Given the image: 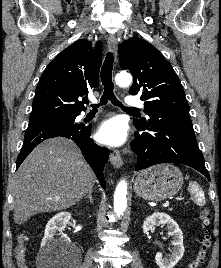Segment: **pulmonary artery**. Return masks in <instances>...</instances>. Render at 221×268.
<instances>
[{"mask_svg":"<svg viewBox=\"0 0 221 268\" xmlns=\"http://www.w3.org/2000/svg\"><path fill=\"white\" fill-rule=\"evenodd\" d=\"M126 102L130 107H139V108L144 107V103L136 97H128L126 99Z\"/></svg>","mask_w":221,"mask_h":268,"instance_id":"1","label":"pulmonary artery"}]
</instances>
